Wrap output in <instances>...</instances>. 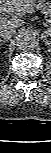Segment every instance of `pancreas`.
<instances>
[{
	"label": "pancreas",
	"instance_id": "1",
	"mask_svg": "<svg viewBox=\"0 0 51 153\" xmlns=\"http://www.w3.org/2000/svg\"><path fill=\"white\" fill-rule=\"evenodd\" d=\"M36 9L40 10L43 14H45V16H49L51 14L50 3L46 2V0H38Z\"/></svg>",
	"mask_w": 51,
	"mask_h": 153
}]
</instances>
